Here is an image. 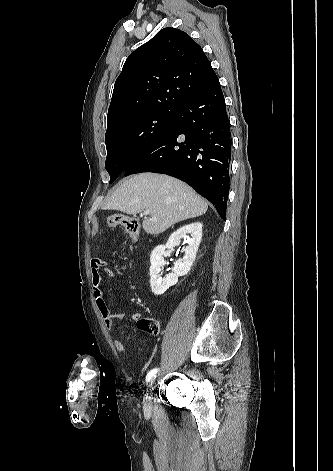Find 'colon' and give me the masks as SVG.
Segmentation results:
<instances>
[{
	"label": "colon",
	"mask_w": 333,
	"mask_h": 471,
	"mask_svg": "<svg viewBox=\"0 0 333 471\" xmlns=\"http://www.w3.org/2000/svg\"><path fill=\"white\" fill-rule=\"evenodd\" d=\"M107 225L110 228L122 226L125 232L130 236L131 242H136L139 235V224L136 219L116 214L107 219ZM138 326L151 335H156L159 332V323L153 318L146 317L139 319Z\"/></svg>",
	"instance_id": "colon-1"
}]
</instances>
